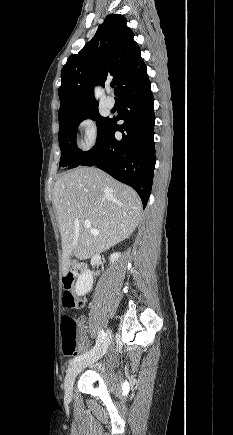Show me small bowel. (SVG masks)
Returning a JSON list of instances; mask_svg holds the SVG:
<instances>
[{
	"label": "small bowel",
	"instance_id": "obj_1",
	"mask_svg": "<svg viewBox=\"0 0 233 435\" xmlns=\"http://www.w3.org/2000/svg\"><path fill=\"white\" fill-rule=\"evenodd\" d=\"M81 302V307H83L84 303ZM87 331L84 325V321L82 319L79 320V334H78V344L82 350L87 348Z\"/></svg>",
	"mask_w": 233,
	"mask_h": 435
}]
</instances>
